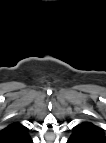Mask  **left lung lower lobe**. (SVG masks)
<instances>
[{
  "label": "left lung lower lobe",
  "instance_id": "left-lung-lower-lobe-1",
  "mask_svg": "<svg viewBox=\"0 0 106 143\" xmlns=\"http://www.w3.org/2000/svg\"><path fill=\"white\" fill-rule=\"evenodd\" d=\"M67 143H82V141L78 137L71 135Z\"/></svg>",
  "mask_w": 106,
  "mask_h": 143
}]
</instances>
